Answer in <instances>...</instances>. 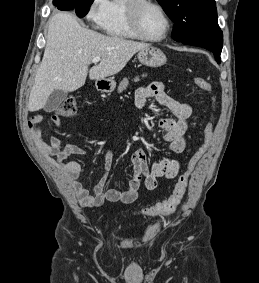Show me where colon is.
Returning a JSON list of instances; mask_svg holds the SVG:
<instances>
[{"label": "colon", "mask_w": 259, "mask_h": 283, "mask_svg": "<svg viewBox=\"0 0 259 283\" xmlns=\"http://www.w3.org/2000/svg\"><path fill=\"white\" fill-rule=\"evenodd\" d=\"M194 83L201 90L209 93L212 92V85L210 84L209 81H207L203 77L200 76L194 77ZM76 112H77V102L74 97L65 98L60 103L59 107L56 110V113L62 117H72L76 114ZM212 133H213V126L211 123H209L203 131V135L199 146L192 153L188 161L187 170L179 177V180L175 185L173 191L171 192L170 196L166 200L157 203L156 205L143 209L142 210L143 214L148 216H158L175 211V209L178 207V205L180 204L186 193L191 172L193 171L197 162L200 160V158L208 148V145L212 137Z\"/></svg>", "instance_id": "colon-1"}]
</instances>
